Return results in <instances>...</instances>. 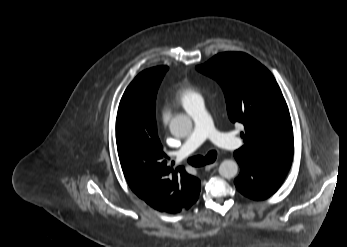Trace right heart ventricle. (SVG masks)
<instances>
[{
  "mask_svg": "<svg viewBox=\"0 0 347 247\" xmlns=\"http://www.w3.org/2000/svg\"><path fill=\"white\" fill-rule=\"evenodd\" d=\"M198 98H201L198 89L189 82H182L176 87L172 100L175 104L187 109Z\"/></svg>",
  "mask_w": 347,
  "mask_h": 247,
  "instance_id": "obj_1",
  "label": "right heart ventricle"
}]
</instances>
